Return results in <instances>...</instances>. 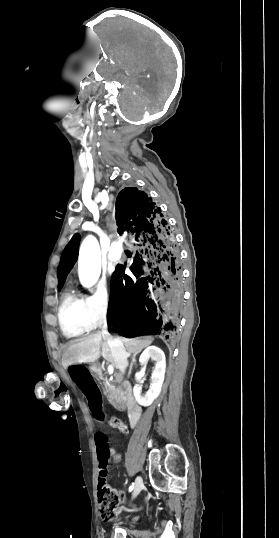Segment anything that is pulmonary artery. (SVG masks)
Wrapping results in <instances>:
<instances>
[{"label": "pulmonary artery", "mask_w": 279, "mask_h": 538, "mask_svg": "<svg viewBox=\"0 0 279 538\" xmlns=\"http://www.w3.org/2000/svg\"><path fill=\"white\" fill-rule=\"evenodd\" d=\"M116 262H117L116 258H110L106 260V265L109 269H112L115 266Z\"/></svg>", "instance_id": "1"}]
</instances>
